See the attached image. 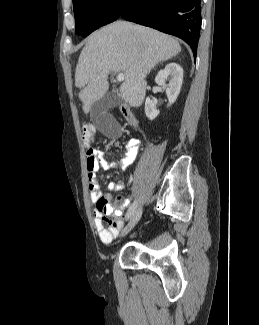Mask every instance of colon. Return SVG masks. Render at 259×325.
I'll return each mask as SVG.
<instances>
[{
	"label": "colon",
	"instance_id": "5ec220e1",
	"mask_svg": "<svg viewBox=\"0 0 259 325\" xmlns=\"http://www.w3.org/2000/svg\"><path fill=\"white\" fill-rule=\"evenodd\" d=\"M94 136V126L91 124H86L82 128L81 138L83 143L88 146L92 141Z\"/></svg>",
	"mask_w": 259,
	"mask_h": 325
}]
</instances>
